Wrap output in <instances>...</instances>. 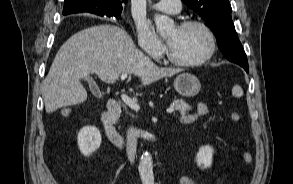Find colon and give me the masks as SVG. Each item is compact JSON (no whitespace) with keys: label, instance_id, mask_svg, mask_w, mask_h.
Segmentation results:
<instances>
[{"label":"colon","instance_id":"obj_1","mask_svg":"<svg viewBox=\"0 0 293 184\" xmlns=\"http://www.w3.org/2000/svg\"><path fill=\"white\" fill-rule=\"evenodd\" d=\"M66 112V111H65ZM241 118L240 114L238 112H232L231 114V119L233 121H239ZM242 158L245 163H251L252 162V155L249 152H243L242 153Z\"/></svg>","mask_w":293,"mask_h":184}]
</instances>
